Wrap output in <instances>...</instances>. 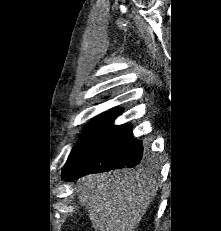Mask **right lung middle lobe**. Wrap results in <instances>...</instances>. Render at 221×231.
Returning a JSON list of instances; mask_svg holds the SVG:
<instances>
[{
    "instance_id": "dd1d6c3e",
    "label": "right lung middle lobe",
    "mask_w": 221,
    "mask_h": 231,
    "mask_svg": "<svg viewBox=\"0 0 221 231\" xmlns=\"http://www.w3.org/2000/svg\"><path fill=\"white\" fill-rule=\"evenodd\" d=\"M121 111V109L110 110L89 122L84 127L83 135L79 139L78 143L72 149L66 165L73 164L83 152L94 144L112 120L117 117Z\"/></svg>"
}]
</instances>
